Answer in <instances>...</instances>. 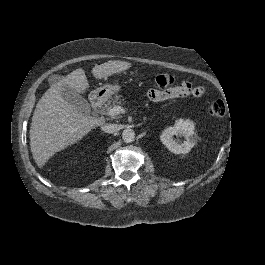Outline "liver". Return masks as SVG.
<instances>
[{
	"label": "liver",
	"instance_id": "1",
	"mask_svg": "<svg viewBox=\"0 0 265 265\" xmlns=\"http://www.w3.org/2000/svg\"><path fill=\"white\" fill-rule=\"evenodd\" d=\"M132 67L126 61H108L92 68L95 80L121 74ZM82 96L90 90L83 68H78L53 84L37 103L30 127V148L38 168L63 149L82 140L93 128L105 123V119L85 116L65 102V88Z\"/></svg>",
	"mask_w": 265,
	"mask_h": 265
}]
</instances>
